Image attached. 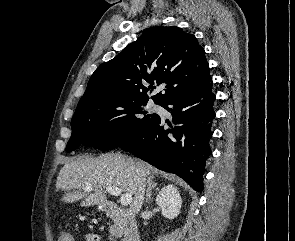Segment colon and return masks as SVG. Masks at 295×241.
I'll return each mask as SVG.
<instances>
[{
    "label": "colon",
    "mask_w": 295,
    "mask_h": 241,
    "mask_svg": "<svg viewBox=\"0 0 295 241\" xmlns=\"http://www.w3.org/2000/svg\"><path fill=\"white\" fill-rule=\"evenodd\" d=\"M59 241H74V238L70 232L64 231L60 234Z\"/></svg>",
    "instance_id": "obj_1"
}]
</instances>
